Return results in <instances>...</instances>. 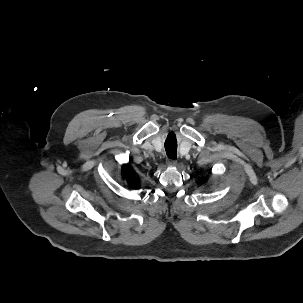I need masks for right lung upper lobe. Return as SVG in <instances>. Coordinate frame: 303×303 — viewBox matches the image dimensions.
<instances>
[{"label": "right lung upper lobe", "mask_w": 303, "mask_h": 303, "mask_svg": "<svg viewBox=\"0 0 303 303\" xmlns=\"http://www.w3.org/2000/svg\"><path fill=\"white\" fill-rule=\"evenodd\" d=\"M122 175L131 187L135 189L139 187L138 175L135 173V171L132 169V167L129 164L123 165Z\"/></svg>", "instance_id": "1"}]
</instances>
